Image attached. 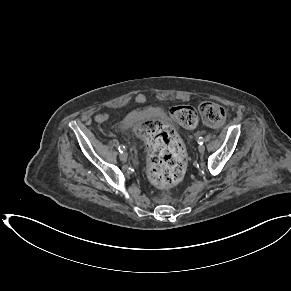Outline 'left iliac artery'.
Returning a JSON list of instances; mask_svg holds the SVG:
<instances>
[{
    "label": "left iliac artery",
    "mask_w": 291,
    "mask_h": 291,
    "mask_svg": "<svg viewBox=\"0 0 291 291\" xmlns=\"http://www.w3.org/2000/svg\"><path fill=\"white\" fill-rule=\"evenodd\" d=\"M198 143L201 145L204 143V138L203 137H199L198 139Z\"/></svg>",
    "instance_id": "obj_1"
}]
</instances>
